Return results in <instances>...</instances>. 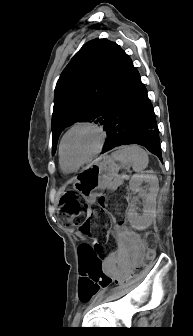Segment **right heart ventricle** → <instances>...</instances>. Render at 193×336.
<instances>
[{
    "mask_svg": "<svg viewBox=\"0 0 193 336\" xmlns=\"http://www.w3.org/2000/svg\"><path fill=\"white\" fill-rule=\"evenodd\" d=\"M60 166H61V170L64 172V173H72L74 171H76L78 168H71L69 166H67L66 164L63 163V161L61 160L60 158Z\"/></svg>",
    "mask_w": 193,
    "mask_h": 336,
    "instance_id": "obj_1",
    "label": "right heart ventricle"
}]
</instances>
